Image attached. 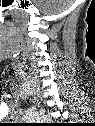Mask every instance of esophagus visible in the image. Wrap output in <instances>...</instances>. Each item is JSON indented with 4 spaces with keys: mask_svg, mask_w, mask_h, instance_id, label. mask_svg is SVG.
Wrapping results in <instances>:
<instances>
[{
    "mask_svg": "<svg viewBox=\"0 0 95 126\" xmlns=\"http://www.w3.org/2000/svg\"><path fill=\"white\" fill-rule=\"evenodd\" d=\"M34 103L36 106H38V107L40 106V101L38 100V98L34 99Z\"/></svg>",
    "mask_w": 95,
    "mask_h": 126,
    "instance_id": "obj_1",
    "label": "esophagus"
}]
</instances>
